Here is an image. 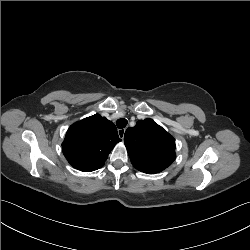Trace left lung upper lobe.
<instances>
[{
  "mask_svg": "<svg viewBox=\"0 0 250 250\" xmlns=\"http://www.w3.org/2000/svg\"><path fill=\"white\" fill-rule=\"evenodd\" d=\"M124 142L133 166L144 173H158L176 158L175 139L152 119L128 128Z\"/></svg>",
  "mask_w": 250,
  "mask_h": 250,
  "instance_id": "obj_1",
  "label": "left lung upper lobe"
}]
</instances>
